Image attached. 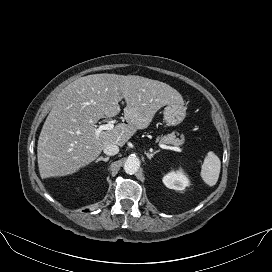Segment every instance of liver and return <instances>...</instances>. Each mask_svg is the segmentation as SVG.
Returning <instances> with one entry per match:
<instances>
[{"label": "liver", "instance_id": "liver-1", "mask_svg": "<svg viewBox=\"0 0 272 272\" xmlns=\"http://www.w3.org/2000/svg\"><path fill=\"white\" fill-rule=\"evenodd\" d=\"M124 119L96 135V124L120 112ZM183 103L166 83L136 75L93 74L66 86L57 96L42 127L37 158L42 179L66 176L94 161L107 144L123 147L137 130L147 128L155 113L170 103Z\"/></svg>", "mask_w": 272, "mask_h": 272}]
</instances>
